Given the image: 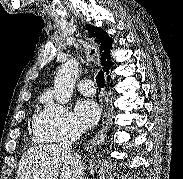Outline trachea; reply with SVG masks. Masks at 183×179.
Returning <instances> with one entry per match:
<instances>
[{
  "label": "trachea",
  "mask_w": 183,
  "mask_h": 179,
  "mask_svg": "<svg viewBox=\"0 0 183 179\" xmlns=\"http://www.w3.org/2000/svg\"><path fill=\"white\" fill-rule=\"evenodd\" d=\"M91 55L94 54V50L91 51ZM96 83L99 87L103 88L105 84V79H104V73L102 70H100L96 76Z\"/></svg>",
  "instance_id": "obj_1"
}]
</instances>
